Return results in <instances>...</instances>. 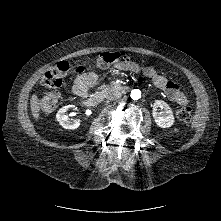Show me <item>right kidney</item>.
<instances>
[{
  "mask_svg": "<svg viewBox=\"0 0 221 221\" xmlns=\"http://www.w3.org/2000/svg\"><path fill=\"white\" fill-rule=\"evenodd\" d=\"M70 108H75L74 105H67L59 109V111L56 114V119L60 123V125L65 128V129H76L80 125V121H72L69 119L65 113L70 109Z\"/></svg>",
  "mask_w": 221,
  "mask_h": 221,
  "instance_id": "right-kidney-1",
  "label": "right kidney"
}]
</instances>
